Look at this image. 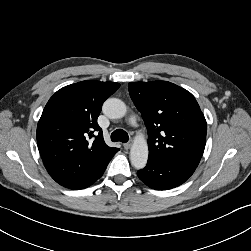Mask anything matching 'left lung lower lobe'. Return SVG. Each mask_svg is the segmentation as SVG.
I'll return each instance as SVG.
<instances>
[{
    "mask_svg": "<svg viewBox=\"0 0 251 251\" xmlns=\"http://www.w3.org/2000/svg\"><path fill=\"white\" fill-rule=\"evenodd\" d=\"M195 169L175 161L148 159L147 166L139 170L137 175L147 186L156 190H167L184 183Z\"/></svg>",
    "mask_w": 251,
    "mask_h": 251,
    "instance_id": "left-lung-lower-lobe-1",
    "label": "left lung lower lobe"
}]
</instances>
